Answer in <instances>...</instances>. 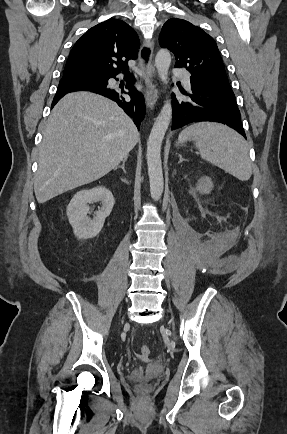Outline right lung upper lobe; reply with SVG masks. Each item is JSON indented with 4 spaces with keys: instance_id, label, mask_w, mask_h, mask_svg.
<instances>
[{
    "instance_id": "obj_1",
    "label": "right lung upper lobe",
    "mask_w": 287,
    "mask_h": 434,
    "mask_svg": "<svg viewBox=\"0 0 287 434\" xmlns=\"http://www.w3.org/2000/svg\"><path fill=\"white\" fill-rule=\"evenodd\" d=\"M139 39L124 21L109 19L89 29L74 45L64 75L96 74L105 77L129 73L128 60L136 59ZM61 82L84 83L62 78Z\"/></svg>"
}]
</instances>
